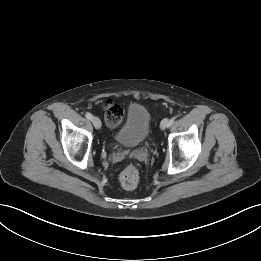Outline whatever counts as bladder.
<instances>
[{
	"instance_id": "31cf9c89",
	"label": "bladder",
	"mask_w": 261,
	"mask_h": 261,
	"mask_svg": "<svg viewBox=\"0 0 261 261\" xmlns=\"http://www.w3.org/2000/svg\"><path fill=\"white\" fill-rule=\"evenodd\" d=\"M151 117L147 108L134 103L128 107L126 117L114 134L117 143L134 148L141 145L149 136Z\"/></svg>"
}]
</instances>
